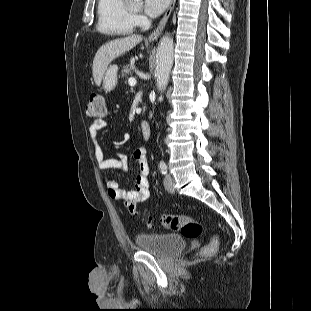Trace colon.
<instances>
[{"instance_id":"obj_1","label":"colon","mask_w":311,"mask_h":311,"mask_svg":"<svg viewBox=\"0 0 311 311\" xmlns=\"http://www.w3.org/2000/svg\"><path fill=\"white\" fill-rule=\"evenodd\" d=\"M87 117L102 120L106 116V105L103 96L99 93H92L85 107ZM147 225L153 226V221L147 219ZM164 228L179 231L184 237L189 239L198 238L203 231L202 225L186 215H167L162 218ZM218 240L212 238L210 242L202 247L198 252L199 256H209L215 252Z\"/></svg>"}]
</instances>
